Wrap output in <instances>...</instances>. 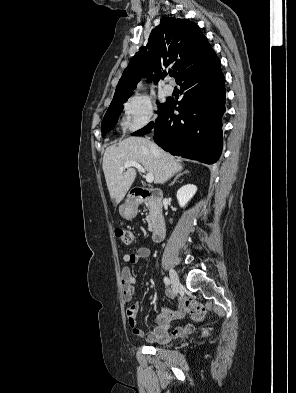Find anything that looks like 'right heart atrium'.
Returning <instances> with one entry per match:
<instances>
[{"label":"right heart atrium","instance_id":"obj_1","mask_svg":"<svg viewBox=\"0 0 296 393\" xmlns=\"http://www.w3.org/2000/svg\"><path fill=\"white\" fill-rule=\"evenodd\" d=\"M125 125L130 132L147 126L154 118L152 102L143 96H134L124 105Z\"/></svg>","mask_w":296,"mask_h":393}]
</instances>
